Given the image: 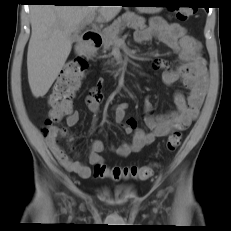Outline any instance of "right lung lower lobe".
I'll use <instances>...</instances> for the list:
<instances>
[{
	"label": "right lung lower lobe",
	"instance_id": "98d812e1",
	"mask_svg": "<svg viewBox=\"0 0 231 231\" xmlns=\"http://www.w3.org/2000/svg\"><path fill=\"white\" fill-rule=\"evenodd\" d=\"M33 4L39 3H53L55 5H80V3L75 2L76 0H27Z\"/></svg>",
	"mask_w": 231,
	"mask_h": 231
}]
</instances>
